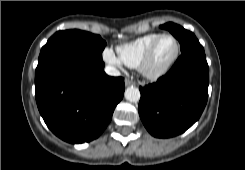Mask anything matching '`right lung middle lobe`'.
I'll use <instances>...</instances> for the list:
<instances>
[{
	"instance_id": "obj_1",
	"label": "right lung middle lobe",
	"mask_w": 245,
	"mask_h": 170,
	"mask_svg": "<svg viewBox=\"0 0 245 170\" xmlns=\"http://www.w3.org/2000/svg\"><path fill=\"white\" fill-rule=\"evenodd\" d=\"M106 42L99 36L81 30L56 32L42 47L35 75L58 59L81 56L102 59Z\"/></svg>"
}]
</instances>
